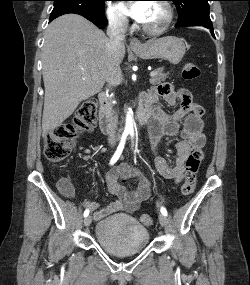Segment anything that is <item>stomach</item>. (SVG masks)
Masks as SVG:
<instances>
[{
	"label": "stomach",
	"instance_id": "0dacf381",
	"mask_svg": "<svg viewBox=\"0 0 250 285\" xmlns=\"http://www.w3.org/2000/svg\"><path fill=\"white\" fill-rule=\"evenodd\" d=\"M186 52V46L182 39L175 36H166L148 41L143 49L134 50V53L142 59H164L172 64H178Z\"/></svg>",
	"mask_w": 250,
	"mask_h": 285
}]
</instances>
